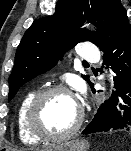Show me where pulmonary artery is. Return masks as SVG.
Returning <instances> with one entry per match:
<instances>
[{"instance_id": "1", "label": "pulmonary artery", "mask_w": 131, "mask_h": 151, "mask_svg": "<svg viewBox=\"0 0 131 151\" xmlns=\"http://www.w3.org/2000/svg\"><path fill=\"white\" fill-rule=\"evenodd\" d=\"M79 56L86 62L95 63L99 60V53L97 48L88 42H85L81 45Z\"/></svg>"}]
</instances>
